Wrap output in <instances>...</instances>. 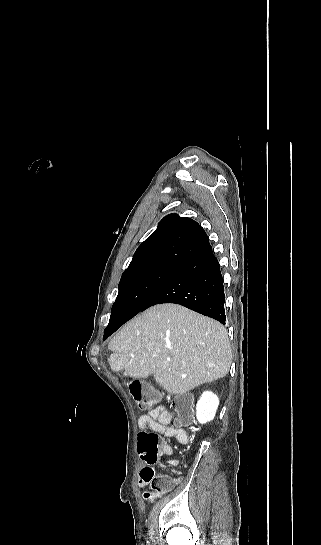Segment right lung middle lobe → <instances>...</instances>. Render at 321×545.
Here are the masks:
<instances>
[{
    "label": "right lung middle lobe",
    "mask_w": 321,
    "mask_h": 545,
    "mask_svg": "<svg viewBox=\"0 0 321 545\" xmlns=\"http://www.w3.org/2000/svg\"><path fill=\"white\" fill-rule=\"evenodd\" d=\"M178 267L153 265L124 272L110 322L131 319ZM109 322V323H110Z\"/></svg>",
    "instance_id": "1"
}]
</instances>
